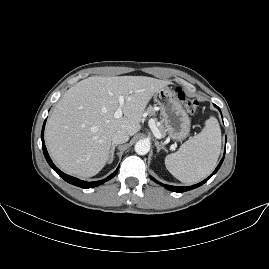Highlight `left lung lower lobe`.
Instances as JSON below:
<instances>
[{
	"label": "left lung lower lobe",
	"instance_id": "obj_1",
	"mask_svg": "<svg viewBox=\"0 0 269 269\" xmlns=\"http://www.w3.org/2000/svg\"><path fill=\"white\" fill-rule=\"evenodd\" d=\"M217 107V106H216ZM218 108V107H217ZM219 109V108H218ZM220 110V109H219ZM224 155H225V152H224ZM223 160H224V156H223V158L221 159V161H220V163L218 164V166L216 167V169H215V171L207 178V179H205L204 181H202V182H200V183H198V184H196V185H193V186H188V187H177V186H171V185H166V188L168 189V190H171V191H174V192H185V191H188V190H192V189H194V188H197V187H199V186H201L202 184H204L212 175H214L217 171H218V169L220 168V166H221V164H222V162H223ZM150 178L154 181V182H156V183H159L156 179H154L152 176H150Z\"/></svg>",
	"mask_w": 269,
	"mask_h": 269
}]
</instances>
